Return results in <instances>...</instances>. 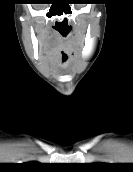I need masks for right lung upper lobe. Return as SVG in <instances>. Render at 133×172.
I'll return each instance as SVG.
<instances>
[{
  "instance_id": "1",
  "label": "right lung upper lobe",
  "mask_w": 133,
  "mask_h": 172,
  "mask_svg": "<svg viewBox=\"0 0 133 172\" xmlns=\"http://www.w3.org/2000/svg\"><path fill=\"white\" fill-rule=\"evenodd\" d=\"M37 163H27L28 168H31V166H34Z\"/></svg>"
}]
</instances>
